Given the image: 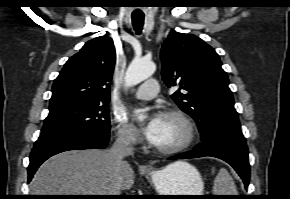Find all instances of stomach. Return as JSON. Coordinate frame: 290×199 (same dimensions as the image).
Listing matches in <instances>:
<instances>
[{
    "instance_id": "stomach-1",
    "label": "stomach",
    "mask_w": 290,
    "mask_h": 199,
    "mask_svg": "<svg viewBox=\"0 0 290 199\" xmlns=\"http://www.w3.org/2000/svg\"><path fill=\"white\" fill-rule=\"evenodd\" d=\"M170 164L161 170L147 171V178L153 183L159 195H203L204 183L198 170L182 161ZM193 199L197 197L176 196Z\"/></svg>"
}]
</instances>
